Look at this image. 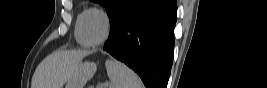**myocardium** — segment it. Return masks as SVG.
Segmentation results:
<instances>
[{
  "label": "myocardium",
  "instance_id": "myocardium-1",
  "mask_svg": "<svg viewBox=\"0 0 267 88\" xmlns=\"http://www.w3.org/2000/svg\"><path fill=\"white\" fill-rule=\"evenodd\" d=\"M91 14L98 15L99 17H101L103 19V21L105 23V32H104V35L97 42H90L85 37V32H84L85 21H86V18L89 15H91ZM110 29H111L110 19H109L108 15L103 10L90 9L88 12H86L84 14V16L82 18V23H81V37H82V40H83V42L85 43L86 46L96 47V46H99V45L103 44L107 40V38H108V36L110 34Z\"/></svg>",
  "mask_w": 267,
  "mask_h": 88
}]
</instances>
